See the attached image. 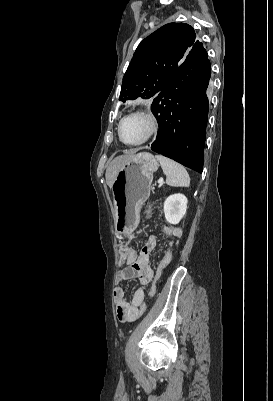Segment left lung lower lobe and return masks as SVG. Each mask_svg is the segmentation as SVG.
Masks as SVG:
<instances>
[{
  "label": "left lung lower lobe",
  "mask_w": 273,
  "mask_h": 401,
  "mask_svg": "<svg viewBox=\"0 0 273 401\" xmlns=\"http://www.w3.org/2000/svg\"><path fill=\"white\" fill-rule=\"evenodd\" d=\"M210 76L207 52L196 40L151 105L160 129L150 148L199 173L204 163Z\"/></svg>",
  "instance_id": "1"
}]
</instances>
